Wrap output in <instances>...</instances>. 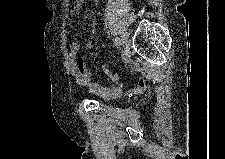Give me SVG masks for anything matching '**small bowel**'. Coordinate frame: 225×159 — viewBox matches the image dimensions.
Segmentation results:
<instances>
[{
    "instance_id": "1",
    "label": "small bowel",
    "mask_w": 225,
    "mask_h": 159,
    "mask_svg": "<svg viewBox=\"0 0 225 159\" xmlns=\"http://www.w3.org/2000/svg\"><path fill=\"white\" fill-rule=\"evenodd\" d=\"M81 3L75 2L70 10L69 14L71 16H76L81 11ZM86 49H92L93 43L88 41L85 43ZM70 60L72 66V75L75 79L77 85L81 87H86L91 90L96 95L101 96L102 98H114L118 97L125 90L128 93L141 92L145 89V81L143 79L137 80L135 83L130 85H125L120 83L119 76L107 67H102V71L107 74V76L116 83L112 86H99L91 83V73L86 66V63L82 57L79 56V43L76 40H73L70 44ZM124 64L131 68L133 67V63L127 58L123 57Z\"/></svg>"
}]
</instances>
